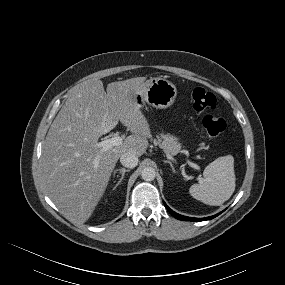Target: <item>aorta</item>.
Wrapping results in <instances>:
<instances>
[{
  "instance_id": "1",
  "label": "aorta",
  "mask_w": 285,
  "mask_h": 285,
  "mask_svg": "<svg viewBox=\"0 0 285 285\" xmlns=\"http://www.w3.org/2000/svg\"><path fill=\"white\" fill-rule=\"evenodd\" d=\"M141 177L145 181H153L156 177L155 169L152 167H145L142 169Z\"/></svg>"
}]
</instances>
